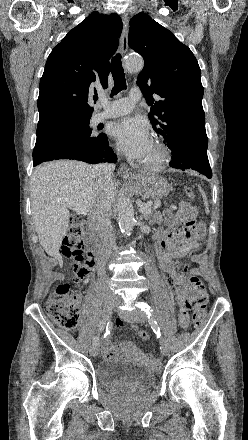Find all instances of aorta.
<instances>
[{
	"mask_svg": "<svg viewBox=\"0 0 248 440\" xmlns=\"http://www.w3.org/2000/svg\"><path fill=\"white\" fill-rule=\"evenodd\" d=\"M124 66L128 72L136 73L143 69L144 62L138 56H130L125 60ZM117 219L121 232L129 235L133 230L135 219L132 202L125 191H122L118 198Z\"/></svg>",
	"mask_w": 248,
	"mask_h": 440,
	"instance_id": "1",
	"label": "aorta"
}]
</instances>
